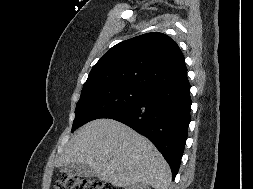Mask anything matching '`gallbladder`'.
<instances>
[{
    "instance_id": "gallbladder-1",
    "label": "gallbladder",
    "mask_w": 253,
    "mask_h": 189,
    "mask_svg": "<svg viewBox=\"0 0 253 189\" xmlns=\"http://www.w3.org/2000/svg\"><path fill=\"white\" fill-rule=\"evenodd\" d=\"M60 172L70 176L92 177L95 171L92 167L84 163H68L60 167Z\"/></svg>"
}]
</instances>
